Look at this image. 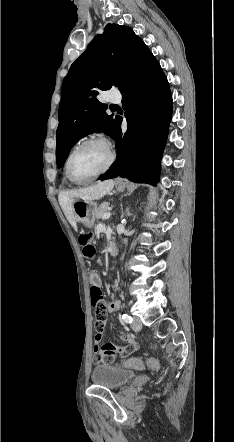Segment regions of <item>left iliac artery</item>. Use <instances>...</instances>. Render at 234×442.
<instances>
[{
    "instance_id": "44dca946",
    "label": "left iliac artery",
    "mask_w": 234,
    "mask_h": 442,
    "mask_svg": "<svg viewBox=\"0 0 234 442\" xmlns=\"http://www.w3.org/2000/svg\"><path fill=\"white\" fill-rule=\"evenodd\" d=\"M122 319L124 320L125 323H132V317L127 314H123Z\"/></svg>"
}]
</instances>
